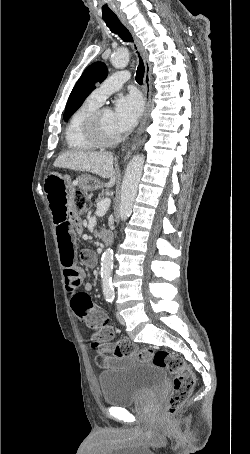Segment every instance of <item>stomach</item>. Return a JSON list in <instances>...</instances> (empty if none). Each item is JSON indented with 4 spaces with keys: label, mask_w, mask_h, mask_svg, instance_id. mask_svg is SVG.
<instances>
[{
    "label": "stomach",
    "mask_w": 250,
    "mask_h": 454,
    "mask_svg": "<svg viewBox=\"0 0 250 454\" xmlns=\"http://www.w3.org/2000/svg\"><path fill=\"white\" fill-rule=\"evenodd\" d=\"M47 176H62V175L57 172H51ZM84 187L89 190L96 189L99 187L98 181L92 177L85 176L84 177ZM71 189H72V186H71Z\"/></svg>",
    "instance_id": "stomach-1"
}]
</instances>
